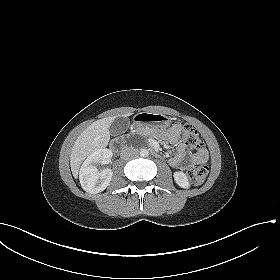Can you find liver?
<instances>
[{"instance_id": "1", "label": "liver", "mask_w": 280, "mask_h": 280, "mask_svg": "<svg viewBox=\"0 0 280 280\" xmlns=\"http://www.w3.org/2000/svg\"><path fill=\"white\" fill-rule=\"evenodd\" d=\"M132 113L123 116L128 117ZM116 116L103 118L89 125L76 139L70 155V166L75 178L78 176L79 168L84 159L95 150L105 148L110 140L109 127Z\"/></svg>"}]
</instances>
